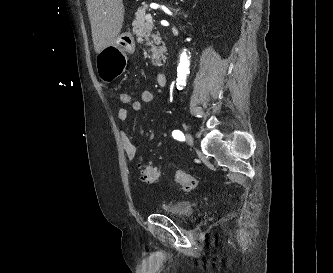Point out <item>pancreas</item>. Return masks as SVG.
I'll list each match as a JSON object with an SVG mask.
<instances>
[{"instance_id": "cf45deb5", "label": "pancreas", "mask_w": 333, "mask_h": 273, "mask_svg": "<svg viewBox=\"0 0 333 273\" xmlns=\"http://www.w3.org/2000/svg\"><path fill=\"white\" fill-rule=\"evenodd\" d=\"M146 11L147 5L144 4L138 8L135 13V20L132 23L133 33L137 36L138 40L145 41L146 45L149 46V51L152 52V63L154 66H161L162 62L165 61L166 47L162 38L159 34H151L153 24L146 22ZM152 36V40L149 38ZM162 44L159 48L157 45Z\"/></svg>"}]
</instances>
